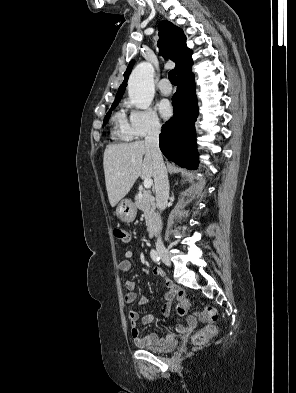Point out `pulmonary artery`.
Listing matches in <instances>:
<instances>
[{
  "label": "pulmonary artery",
  "instance_id": "pulmonary-artery-1",
  "mask_svg": "<svg viewBox=\"0 0 296 393\" xmlns=\"http://www.w3.org/2000/svg\"><path fill=\"white\" fill-rule=\"evenodd\" d=\"M158 88L160 92L164 95H168L172 92V86L167 78H164L159 82Z\"/></svg>",
  "mask_w": 296,
  "mask_h": 393
}]
</instances>
